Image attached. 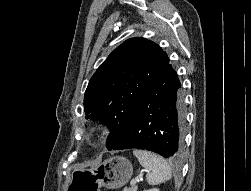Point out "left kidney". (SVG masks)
<instances>
[{"instance_id": "5707ae66", "label": "left kidney", "mask_w": 251, "mask_h": 191, "mask_svg": "<svg viewBox=\"0 0 251 191\" xmlns=\"http://www.w3.org/2000/svg\"><path fill=\"white\" fill-rule=\"evenodd\" d=\"M144 191H159V189H157V187H153V189H144Z\"/></svg>"}]
</instances>
